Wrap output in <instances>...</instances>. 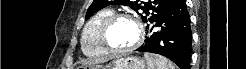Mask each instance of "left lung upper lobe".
<instances>
[{"label": "left lung upper lobe", "instance_id": "1", "mask_svg": "<svg viewBox=\"0 0 246 69\" xmlns=\"http://www.w3.org/2000/svg\"><path fill=\"white\" fill-rule=\"evenodd\" d=\"M140 0H94L91 6L88 8L86 19H89L94 13L99 11L100 9L112 5V4H119V5H126L131 7L135 10L138 14L139 11H143L146 16H142L143 22H150L153 23L160 15H162L166 9L172 4L174 0H148L147 2H139ZM151 16H149L150 12ZM141 15V14H140ZM149 24L147 25V28Z\"/></svg>", "mask_w": 246, "mask_h": 69}]
</instances>
